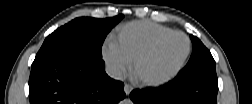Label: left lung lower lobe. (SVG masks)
I'll use <instances>...</instances> for the list:
<instances>
[{
	"mask_svg": "<svg viewBox=\"0 0 252 104\" xmlns=\"http://www.w3.org/2000/svg\"><path fill=\"white\" fill-rule=\"evenodd\" d=\"M218 79L215 70L179 74L164 86L150 90H133L135 104H215Z\"/></svg>",
	"mask_w": 252,
	"mask_h": 104,
	"instance_id": "obj_1",
	"label": "left lung lower lobe"
}]
</instances>
